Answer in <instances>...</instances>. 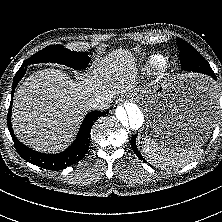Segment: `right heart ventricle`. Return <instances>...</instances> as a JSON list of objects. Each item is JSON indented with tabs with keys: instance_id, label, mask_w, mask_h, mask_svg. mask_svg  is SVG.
Here are the masks:
<instances>
[{
	"instance_id": "1",
	"label": "right heart ventricle",
	"mask_w": 222,
	"mask_h": 222,
	"mask_svg": "<svg viewBox=\"0 0 222 222\" xmlns=\"http://www.w3.org/2000/svg\"><path fill=\"white\" fill-rule=\"evenodd\" d=\"M164 61H165L164 56L160 54H154L148 58L147 65L149 69L156 70L161 67Z\"/></svg>"
}]
</instances>
